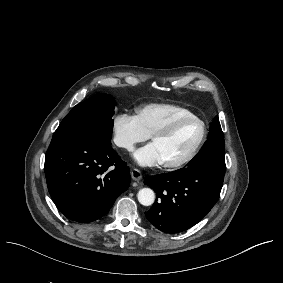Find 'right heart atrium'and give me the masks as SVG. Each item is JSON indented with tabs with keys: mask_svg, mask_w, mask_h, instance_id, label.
<instances>
[{
	"mask_svg": "<svg viewBox=\"0 0 283 283\" xmlns=\"http://www.w3.org/2000/svg\"><path fill=\"white\" fill-rule=\"evenodd\" d=\"M110 131L113 144L127 151L150 137L139 116L128 112H117L112 116Z\"/></svg>",
	"mask_w": 283,
	"mask_h": 283,
	"instance_id": "obj_1",
	"label": "right heart atrium"
}]
</instances>
